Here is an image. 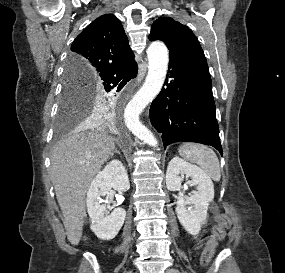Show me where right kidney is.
Segmentation results:
<instances>
[{
    "mask_svg": "<svg viewBox=\"0 0 285 273\" xmlns=\"http://www.w3.org/2000/svg\"><path fill=\"white\" fill-rule=\"evenodd\" d=\"M113 188L118 192L130 188L127 171L119 160H112L93 179L87 192V211L91 218V230L102 240L113 239L121 229L126 211L115 208L108 215L107 207L102 197L109 194Z\"/></svg>",
    "mask_w": 285,
    "mask_h": 273,
    "instance_id": "ca27d5eb",
    "label": "right kidney"
}]
</instances>
